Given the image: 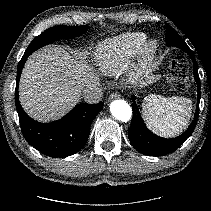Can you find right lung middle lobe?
Listing matches in <instances>:
<instances>
[{"label": "right lung middle lobe", "instance_id": "1", "mask_svg": "<svg viewBox=\"0 0 211 211\" xmlns=\"http://www.w3.org/2000/svg\"><path fill=\"white\" fill-rule=\"evenodd\" d=\"M87 25L82 26H65L59 25L51 27L41 33L39 36L35 37L34 40L30 43L28 48L25 51V54L30 55L35 50L52 43L53 41L59 39H68L72 37L79 36L88 30Z\"/></svg>", "mask_w": 211, "mask_h": 211}]
</instances>
